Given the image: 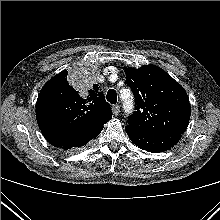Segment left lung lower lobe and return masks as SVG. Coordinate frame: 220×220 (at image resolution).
Masks as SVG:
<instances>
[{
    "mask_svg": "<svg viewBox=\"0 0 220 220\" xmlns=\"http://www.w3.org/2000/svg\"><path fill=\"white\" fill-rule=\"evenodd\" d=\"M125 131L138 147L148 152L159 153L173 147L181 138V134H157L136 130L130 126Z\"/></svg>",
    "mask_w": 220,
    "mask_h": 220,
    "instance_id": "left-lung-lower-lobe-1",
    "label": "left lung lower lobe"
}]
</instances>
